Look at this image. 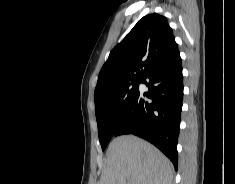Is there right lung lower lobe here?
I'll list each match as a JSON object with an SVG mask.
<instances>
[{"mask_svg":"<svg viewBox=\"0 0 235 184\" xmlns=\"http://www.w3.org/2000/svg\"><path fill=\"white\" fill-rule=\"evenodd\" d=\"M142 83L149 88V93H138L123 116L115 136L134 134L151 142L172 161L177 170V142L183 99L179 51L156 65ZM145 97L152 101H145Z\"/></svg>","mask_w":235,"mask_h":184,"instance_id":"1","label":"right lung lower lobe"}]
</instances>
